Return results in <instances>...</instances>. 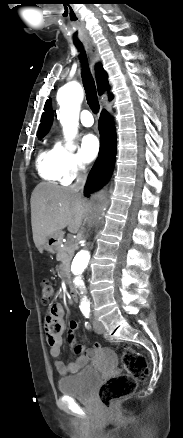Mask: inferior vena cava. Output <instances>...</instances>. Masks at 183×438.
<instances>
[{
  "label": "inferior vena cava",
  "instance_id": "602c4592",
  "mask_svg": "<svg viewBox=\"0 0 183 438\" xmlns=\"http://www.w3.org/2000/svg\"><path fill=\"white\" fill-rule=\"evenodd\" d=\"M86 180H87V174L85 172L78 173L76 182L70 186V189L78 193L80 196H82Z\"/></svg>",
  "mask_w": 183,
  "mask_h": 438
}]
</instances>
